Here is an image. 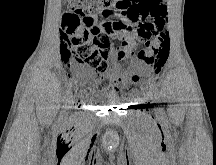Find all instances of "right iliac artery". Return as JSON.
Listing matches in <instances>:
<instances>
[{"mask_svg":"<svg viewBox=\"0 0 216 165\" xmlns=\"http://www.w3.org/2000/svg\"><path fill=\"white\" fill-rule=\"evenodd\" d=\"M72 101L70 99H68L67 101H64V106H69V104L71 103Z\"/></svg>","mask_w":216,"mask_h":165,"instance_id":"right-iliac-artery-1","label":"right iliac artery"}]
</instances>
